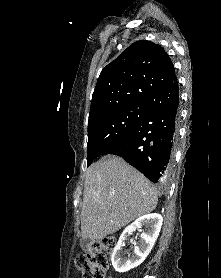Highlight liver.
Instances as JSON below:
<instances>
[{
  "label": "liver",
  "instance_id": "6515ba94",
  "mask_svg": "<svg viewBox=\"0 0 221 278\" xmlns=\"http://www.w3.org/2000/svg\"><path fill=\"white\" fill-rule=\"evenodd\" d=\"M152 183L117 156H106L86 172L81 210L83 239L114 234L157 206Z\"/></svg>",
  "mask_w": 221,
  "mask_h": 278
}]
</instances>
